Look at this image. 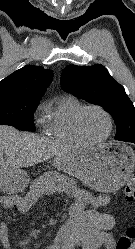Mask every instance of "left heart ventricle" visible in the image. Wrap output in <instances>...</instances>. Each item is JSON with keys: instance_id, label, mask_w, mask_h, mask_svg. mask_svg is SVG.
<instances>
[{"instance_id": "b2bd125f", "label": "left heart ventricle", "mask_w": 135, "mask_h": 249, "mask_svg": "<svg viewBox=\"0 0 135 249\" xmlns=\"http://www.w3.org/2000/svg\"><path fill=\"white\" fill-rule=\"evenodd\" d=\"M84 134L93 140L103 138L108 131V122L105 116L95 109L85 112L81 119Z\"/></svg>"}]
</instances>
